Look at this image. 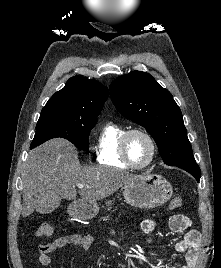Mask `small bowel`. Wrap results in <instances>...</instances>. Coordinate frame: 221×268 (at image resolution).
Instances as JSON below:
<instances>
[{
    "label": "small bowel",
    "instance_id": "small-bowel-1",
    "mask_svg": "<svg viewBox=\"0 0 221 268\" xmlns=\"http://www.w3.org/2000/svg\"><path fill=\"white\" fill-rule=\"evenodd\" d=\"M192 225L191 220L181 214L173 215L169 220V226L174 232H183ZM157 227V222L153 219H145L141 222V230L144 233H151ZM94 242V237L90 234L79 235L71 234L56 238L55 240L39 245V256L37 263L41 266L52 268L51 254L66 247L75 246L88 249ZM201 242V233L198 230L191 229L187 231L183 239L175 244V250L184 255V263L180 268H194L199 255V246Z\"/></svg>",
    "mask_w": 221,
    "mask_h": 268
}]
</instances>
